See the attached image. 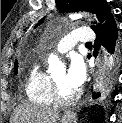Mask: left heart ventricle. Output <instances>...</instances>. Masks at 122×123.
<instances>
[{"label":"left heart ventricle","instance_id":"b2bd125f","mask_svg":"<svg viewBox=\"0 0 122 123\" xmlns=\"http://www.w3.org/2000/svg\"><path fill=\"white\" fill-rule=\"evenodd\" d=\"M64 78H65V72H59L57 74H55L53 76V79L55 80V82L57 83V85L59 86L62 94L69 96L72 95L73 93H75L77 90L71 89L69 88L65 82H64Z\"/></svg>","mask_w":122,"mask_h":123}]
</instances>
